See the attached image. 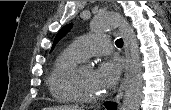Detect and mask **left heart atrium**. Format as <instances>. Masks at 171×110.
Masks as SVG:
<instances>
[{"label": "left heart atrium", "instance_id": "1", "mask_svg": "<svg viewBox=\"0 0 171 110\" xmlns=\"http://www.w3.org/2000/svg\"><path fill=\"white\" fill-rule=\"evenodd\" d=\"M122 69L121 61L117 58L104 61L94 71V79L100 89L105 92L117 83Z\"/></svg>", "mask_w": 171, "mask_h": 110}]
</instances>
